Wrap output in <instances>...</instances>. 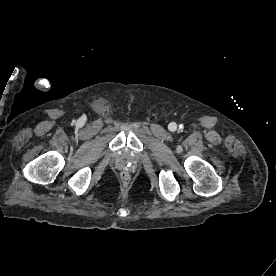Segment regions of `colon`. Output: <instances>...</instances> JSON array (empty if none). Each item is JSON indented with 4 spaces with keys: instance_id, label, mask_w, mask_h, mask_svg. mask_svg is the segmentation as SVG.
Here are the masks:
<instances>
[{
    "instance_id": "5ec220e1",
    "label": "colon",
    "mask_w": 276,
    "mask_h": 276,
    "mask_svg": "<svg viewBox=\"0 0 276 276\" xmlns=\"http://www.w3.org/2000/svg\"><path fill=\"white\" fill-rule=\"evenodd\" d=\"M121 178L126 181L128 179V175L126 173H122Z\"/></svg>"
}]
</instances>
